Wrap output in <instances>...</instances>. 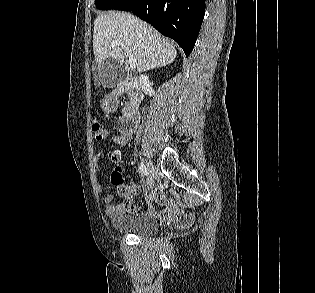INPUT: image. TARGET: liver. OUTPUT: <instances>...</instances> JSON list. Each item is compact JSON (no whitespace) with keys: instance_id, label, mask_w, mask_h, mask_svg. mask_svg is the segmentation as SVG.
I'll return each instance as SVG.
<instances>
[{"instance_id":"liver-1","label":"liver","mask_w":315,"mask_h":293,"mask_svg":"<svg viewBox=\"0 0 315 293\" xmlns=\"http://www.w3.org/2000/svg\"><path fill=\"white\" fill-rule=\"evenodd\" d=\"M114 41L122 42L130 51L139 73L168 65L177 55L169 39L130 13L110 11L95 19L93 52L98 63L102 64L107 57L118 62L124 60L123 47L109 48Z\"/></svg>"}]
</instances>
